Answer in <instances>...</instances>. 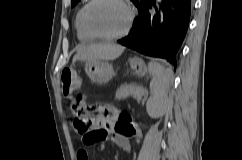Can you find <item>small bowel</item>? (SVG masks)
I'll list each match as a JSON object with an SVG mask.
<instances>
[{"instance_id": "1", "label": "small bowel", "mask_w": 242, "mask_h": 160, "mask_svg": "<svg viewBox=\"0 0 242 160\" xmlns=\"http://www.w3.org/2000/svg\"><path fill=\"white\" fill-rule=\"evenodd\" d=\"M113 124V115L112 112L103 113L102 117L99 119H94L92 121V127L97 130L107 131V126ZM138 133L135 129L133 133L125 134L120 131H117L115 128L112 132L109 133L108 139L116 144L118 147L122 148L125 151H130L131 146L128 139V136L137 137ZM105 136L103 139H105ZM102 140V139H101ZM100 141V140H99ZM77 160H89L88 153L85 149L79 150L77 154Z\"/></svg>"}]
</instances>
